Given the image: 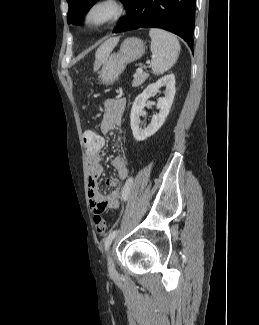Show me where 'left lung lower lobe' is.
I'll list each match as a JSON object with an SVG mask.
<instances>
[{
    "instance_id": "0a47b994",
    "label": "left lung lower lobe",
    "mask_w": 259,
    "mask_h": 325,
    "mask_svg": "<svg viewBox=\"0 0 259 325\" xmlns=\"http://www.w3.org/2000/svg\"><path fill=\"white\" fill-rule=\"evenodd\" d=\"M196 0H129L127 14L113 33L137 28H161L183 38L193 48Z\"/></svg>"
}]
</instances>
